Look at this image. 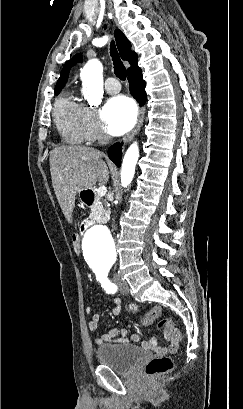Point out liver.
Masks as SVG:
<instances>
[{
	"label": "liver",
	"instance_id": "liver-1",
	"mask_svg": "<svg viewBox=\"0 0 243 409\" xmlns=\"http://www.w3.org/2000/svg\"><path fill=\"white\" fill-rule=\"evenodd\" d=\"M52 185L61 210L72 223L76 194L95 186L106 184L109 170L102 153L83 146L56 147L50 153Z\"/></svg>",
	"mask_w": 243,
	"mask_h": 409
}]
</instances>
